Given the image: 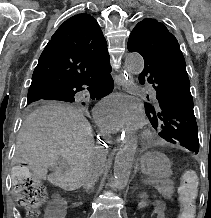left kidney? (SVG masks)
Here are the masks:
<instances>
[{
    "instance_id": "1",
    "label": "left kidney",
    "mask_w": 211,
    "mask_h": 218,
    "mask_svg": "<svg viewBox=\"0 0 211 218\" xmlns=\"http://www.w3.org/2000/svg\"><path fill=\"white\" fill-rule=\"evenodd\" d=\"M136 210H147L146 203L138 202L136 205ZM167 212H169L167 202H154L152 218H164V215H167Z\"/></svg>"
}]
</instances>
